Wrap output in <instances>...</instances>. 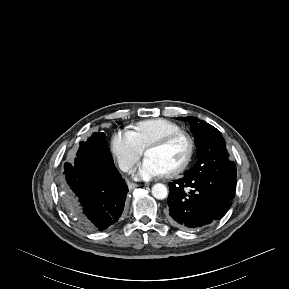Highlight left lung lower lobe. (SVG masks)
Instances as JSON below:
<instances>
[{
	"label": "left lung lower lobe",
	"mask_w": 289,
	"mask_h": 289,
	"mask_svg": "<svg viewBox=\"0 0 289 289\" xmlns=\"http://www.w3.org/2000/svg\"><path fill=\"white\" fill-rule=\"evenodd\" d=\"M236 178L226 171L189 175L169 183L167 219L179 228H202L221 219L235 196ZM189 187L190 192L185 188Z\"/></svg>",
	"instance_id": "1"
}]
</instances>
